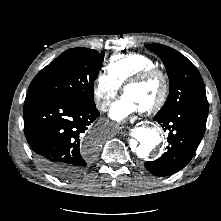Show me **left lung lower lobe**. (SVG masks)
<instances>
[{"label": "left lung lower lobe", "mask_w": 221, "mask_h": 221, "mask_svg": "<svg viewBox=\"0 0 221 221\" xmlns=\"http://www.w3.org/2000/svg\"><path fill=\"white\" fill-rule=\"evenodd\" d=\"M208 108L185 105L174 111L156 114L154 120L169 131L167 151L155 161H146V169L155 176H170L193 158L205 133Z\"/></svg>", "instance_id": "left-lung-lower-lobe-1"}]
</instances>
